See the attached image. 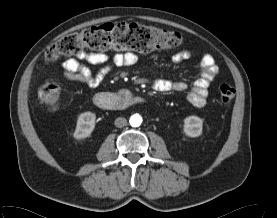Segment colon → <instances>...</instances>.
<instances>
[{
  "label": "colon",
  "mask_w": 277,
  "mask_h": 218,
  "mask_svg": "<svg viewBox=\"0 0 277 218\" xmlns=\"http://www.w3.org/2000/svg\"><path fill=\"white\" fill-rule=\"evenodd\" d=\"M184 43L185 39L176 31L134 23H105L62 37L47 48L44 59L46 62H54L62 57L76 56L87 49L148 53L176 48ZM60 93V87L56 83L43 84L39 89L41 105L48 111H55L59 105ZM234 96L233 86H219L222 103H230Z\"/></svg>",
  "instance_id": "5ec220e1"
}]
</instances>
